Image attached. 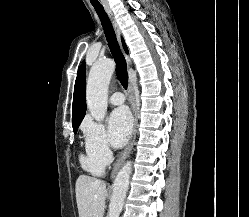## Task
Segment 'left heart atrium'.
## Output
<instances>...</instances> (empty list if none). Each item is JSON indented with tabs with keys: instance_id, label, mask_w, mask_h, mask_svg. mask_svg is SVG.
<instances>
[{
	"instance_id": "obj_1",
	"label": "left heart atrium",
	"mask_w": 249,
	"mask_h": 217,
	"mask_svg": "<svg viewBox=\"0 0 249 217\" xmlns=\"http://www.w3.org/2000/svg\"><path fill=\"white\" fill-rule=\"evenodd\" d=\"M132 129V118L125 107L115 109L109 118V135L111 142L120 147L127 141Z\"/></svg>"
}]
</instances>
